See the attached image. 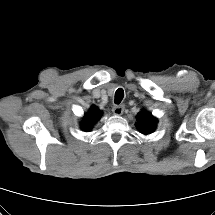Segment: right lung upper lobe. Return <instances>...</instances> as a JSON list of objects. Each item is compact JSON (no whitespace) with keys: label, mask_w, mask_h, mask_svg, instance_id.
Instances as JSON below:
<instances>
[{"label":"right lung upper lobe","mask_w":215,"mask_h":215,"mask_svg":"<svg viewBox=\"0 0 215 215\" xmlns=\"http://www.w3.org/2000/svg\"><path fill=\"white\" fill-rule=\"evenodd\" d=\"M101 115L102 112L98 108H96L95 106L92 107L89 111V114L88 115L85 114L84 118L87 124L83 126V129L85 130L89 129V125L92 126L93 123L97 122L100 119Z\"/></svg>","instance_id":"cb5924a9"}]
</instances>
